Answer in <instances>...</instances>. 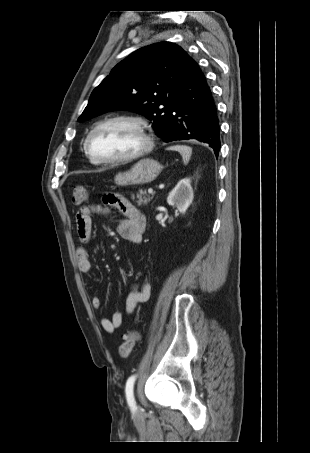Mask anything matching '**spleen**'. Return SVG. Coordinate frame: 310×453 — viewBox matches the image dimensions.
<instances>
[{
    "instance_id": "3e777b00",
    "label": "spleen",
    "mask_w": 310,
    "mask_h": 453,
    "mask_svg": "<svg viewBox=\"0 0 310 453\" xmlns=\"http://www.w3.org/2000/svg\"><path fill=\"white\" fill-rule=\"evenodd\" d=\"M168 150L177 151L181 154L183 158V163L186 165L188 164L191 155H192V148L186 145H175L170 146Z\"/></svg>"
}]
</instances>
